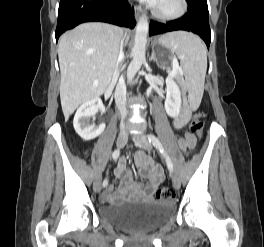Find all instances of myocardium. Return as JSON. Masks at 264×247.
Wrapping results in <instances>:
<instances>
[{
    "mask_svg": "<svg viewBox=\"0 0 264 247\" xmlns=\"http://www.w3.org/2000/svg\"><path fill=\"white\" fill-rule=\"evenodd\" d=\"M177 8L169 13H162L157 10L156 6L152 8V15L161 21H172L183 17L188 11L187 0H177Z\"/></svg>",
    "mask_w": 264,
    "mask_h": 247,
    "instance_id": "f54148a6",
    "label": "myocardium"
}]
</instances>
